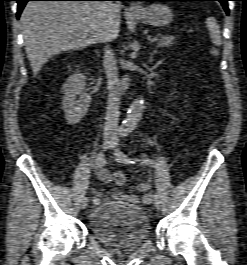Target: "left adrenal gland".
<instances>
[{"mask_svg":"<svg viewBox=\"0 0 247 265\" xmlns=\"http://www.w3.org/2000/svg\"><path fill=\"white\" fill-rule=\"evenodd\" d=\"M153 55H154V53H151V54H150V57H149V62H150V63L153 62Z\"/></svg>","mask_w":247,"mask_h":265,"instance_id":"left-adrenal-gland-1","label":"left adrenal gland"}]
</instances>
